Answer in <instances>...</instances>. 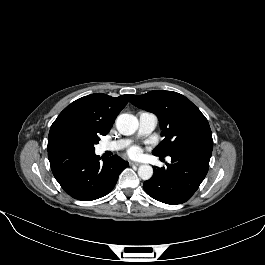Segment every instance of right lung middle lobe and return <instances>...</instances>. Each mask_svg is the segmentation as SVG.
Returning <instances> with one entry per match:
<instances>
[{
    "label": "right lung middle lobe",
    "mask_w": 265,
    "mask_h": 265,
    "mask_svg": "<svg viewBox=\"0 0 265 265\" xmlns=\"http://www.w3.org/2000/svg\"><path fill=\"white\" fill-rule=\"evenodd\" d=\"M100 138L96 134L79 128H66L59 132L56 138L58 147H69L95 151L94 145Z\"/></svg>",
    "instance_id": "1"
}]
</instances>
